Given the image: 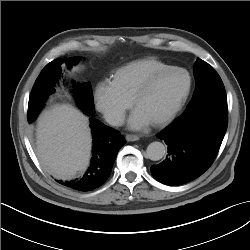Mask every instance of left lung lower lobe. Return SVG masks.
<instances>
[{
  "label": "left lung lower lobe",
  "mask_w": 250,
  "mask_h": 250,
  "mask_svg": "<svg viewBox=\"0 0 250 250\" xmlns=\"http://www.w3.org/2000/svg\"><path fill=\"white\" fill-rule=\"evenodd\" d=\"M227 125L225 90L212 93L188 108L157 135L167 144L168 155L151 167L153 177L170 186L198 178L217 156Z\"/></svg>",
  "instance_id": "obj_1"
}]
</instances>
